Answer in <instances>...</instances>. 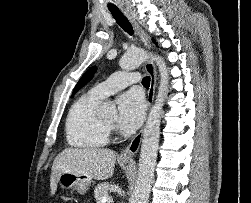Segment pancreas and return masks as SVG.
Listing matches in <instances>:
<instances>
[{
    "label": "pancreas",
    "mask_w": 251,
    "mask_h": 203,
    "mask_svg": "<svg viewBox=\"0 0 251 203\" xmlns=\"http://www.w3.org/2000/svg\"><path fill=\"white\" fill-rule=\"evenodd\" d=\"M110 184L108 182L100 183L96 186L94 190V196L97 203H101L103 197H108Z\"/></svg>",
    "instance_id": "1"
}]
</instances>
